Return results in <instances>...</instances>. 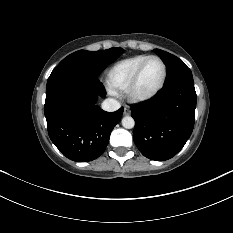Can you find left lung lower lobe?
<instances>
[{
  "instance_id": "obj_1",
  "label": "left lung lower lobe",
  "mask_w": 233,
  "mask_h": 233,
  "mask_svg": "<svg viewBox=\"0 0 233 233\" xmlns=\"http://www.w3.org/2000/svg\"><path fill=\"white\" fill-rule=\"evenodd\" d=\"M196 100L194 83L182 81L132 107L133 139L144 156L168 160L183 148L193 131Z\"/></svg>"
}]
</instances>
